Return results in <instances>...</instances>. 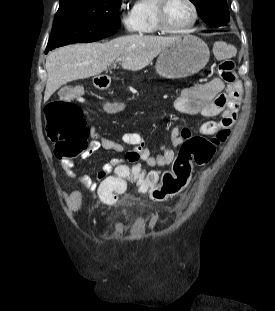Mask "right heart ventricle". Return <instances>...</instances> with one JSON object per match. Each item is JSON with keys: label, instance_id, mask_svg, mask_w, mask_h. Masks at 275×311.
I'll return each instance as SVG.
<instances>
[{"label": "right heart ventricle", "instance_id": "right-heart-ventricle-1", "mask_svg": "<svg viewBox=\"0 0 275 311\" xmlns=\"http://www.w3.org/2000/svg\"><path fill=\"white\" fill-rule=\"evenodd\" d=\"M157 0H136L132 13L139 23L138 32L142 35H153L160 32L156 20Z\"/></svg>", "mask_w": 275, "mask_h": 311}]
</instances>
